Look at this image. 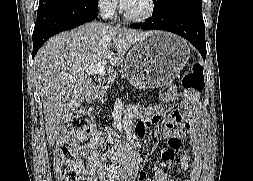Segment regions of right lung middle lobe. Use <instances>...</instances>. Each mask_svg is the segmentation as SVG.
Segmentation results:
<instances>
[{"mask_svg":"<svg viewBox=\"0 0 253 181\" xmlns=\"http://www.w3.org/2000/svg\"><path fill=\"white\" fill-rule=\"evenodd\" d=\"M76 1H84L92 6H98L97 0H40L38 11L47 9L49 7H53L56 5H60L67 2H76Z\"/></svg>","mask_w":253,"mask_h":181,"instance_id":"obj_1","label":"right lung middle lobe"}]
</instances>
